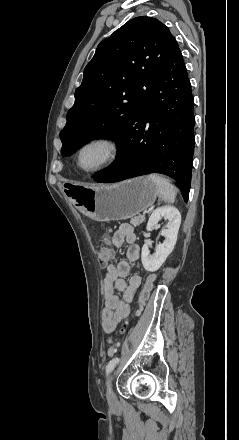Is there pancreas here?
Masks as SVG:
<instances>
[{
    "label": "pancreas",
    "instance_id": "cf45deb5",
    "mask_svg": "<svg viewBox=\"0 0 239 440\" xmlns=\"http://www.w3.org/2000/svg\"><path fill=\"white\" fill-rule=\"evenodd\" d=\"M144 220V214H140V216H134V218H131L130 224H132V226H140V224H143Z\"/></svg>",
    "mask_w": 239,
    "mask_h": 440
}]
</instances>
